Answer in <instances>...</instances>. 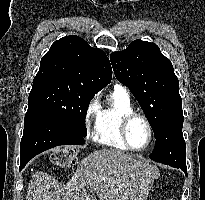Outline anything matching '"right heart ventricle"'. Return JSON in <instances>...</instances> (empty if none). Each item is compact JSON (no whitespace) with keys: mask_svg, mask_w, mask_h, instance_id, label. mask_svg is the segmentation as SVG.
Returning a JSON list of instances; mask_svg holds the SVG:
<instances>
[{"mask_svg":"<svg viewBox=\"0 0 205 200\" xmlns=\"http://www.w3.org/2000/svg\"><path fill=\"white\" fill-rule=\"evenodd\" d=\"M132 112L134 108L128 93L115 88L100 109L94 136L96 142L117 150H129L122 140L120 123L125 115Z\"/></svg>","mask_w":205,"mask_h":200,"instance_id":"obj_1","label":"right heart ventricle"}]
</instances>
